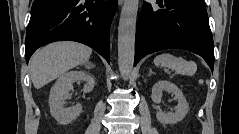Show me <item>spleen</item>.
Listing matches in <instances>:
<instances>
[{
    "instance_id": "1",
    "label": "spleen",
    "mask_w": 239,
    "mask_h": 134,
    "mask_svg": "<svg viewBox=\"0 0 239 134\" xmlns=\"http://www.w3.org/2000/svg\"><path fill=\"white\" fill-rule=\"evenodd\" d=\"M155 65L164 68L170 74L169 69L177 74L193 76L197 71V65L193 61H187L181 57L169 53H162L155 58Z\"/></svg>"
}]
</instances>
